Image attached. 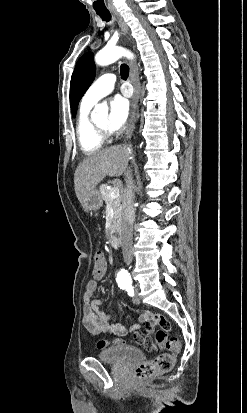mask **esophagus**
Listing matches in <instances>:
<instances>
[{
	"instance_id": "1",
	"label": "esophagus",
	"mask_w": 247,
	"mask_h": 413,
	"mask_svg": "<svg viewBox=\"0 0 247 413\" xmlns=\"http://www.w3.org/2000/svg\"><path fill=\"white\" fill-rule=\"evenodd\" d=\"M111 13L117 20L121 30L125 34H127L128 27L126 23L124 22L123 18L121 17V15L118 12H114V11H112ZM130 81L134 87V95L132 97L130 116H129L128 125H127L126 132H125L126 140H129L132 137L134 129H135L136 120L138 119L137 106H138L139 92H140V80H139V74H138V67L135 62H130Z\"/></svg>"
}]
</instances>
